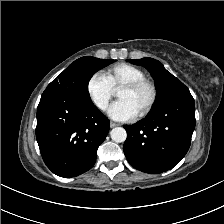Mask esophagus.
Segmentation results:
<instances>
[{
  "label": "esophagus",
  "instance_id": "1",
  "mask_svg": "<svg viewBox=\"0 0 224 224\" xmlns=\"http://www.w3.org/2000/svg\"><path fill=\"white\" fill-rule=\"evenodd\" d=\"M120 124L119 123H115V122H110V127L111 128H114V127H116V126H119Z\"/></svg>",
  "mask_w": 224,
  "mask_h": 224
}]
</instances>
